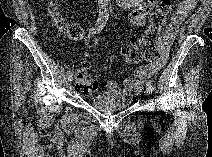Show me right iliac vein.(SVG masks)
<instances>
[{"label": "right iliac vein", "instance_id": "1", "mask_svg": "<svg viewBox=\"0 0 212 157\" xmlns=\"http://www.w3.org/2000/svg\"><path fill=\"white\" fill-rule=\"evenodd\" d=\"M71 83H72V76H68L67 81H66L67 86H70Z\"/></svg>", "mask_w": 212, "mask_h": 157}]
</instances>
